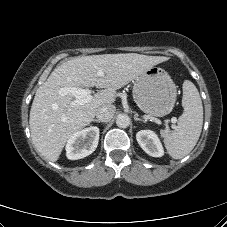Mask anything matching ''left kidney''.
<instances>
[{
  "mask_svg": "<svg viewBox=\"0 0 227 227\" xmlns=\"http://www.w3.org/2000/svg\"><path fill=\"white\" fill-rule=\"evenodd\" d=\"M136 139L141 148L152 157H161L164 150L160 139L151 130H141L136 134Z\"/></svg>",
  "mask_w": 227,
  "mask_h": 227,
  "instance_id": "obj_1",
  "label": "left kidney"
}]
</instances>
